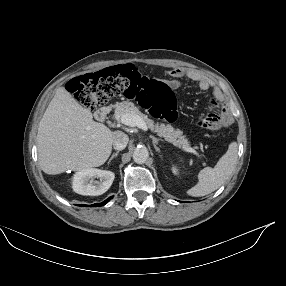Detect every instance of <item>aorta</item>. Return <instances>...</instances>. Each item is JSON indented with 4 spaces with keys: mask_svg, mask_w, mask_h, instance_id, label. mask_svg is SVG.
<instances>
[{
    "mask_svg": "<svg viewBox=\"0 0 286 286\" xmlns=\"http://www.w3.org/2000/svg\"><path fill=\"white\" fill-rule=\"evenodd\" d=\"M149 152L146 147H137L133 152V160L138 164H143L147 161Z\"/></svg>",
    "mask_w": 286,
    "mask_h": 286,
    "instance_id": "obj_1",
    "label": "aorta"
}]
</instances>
